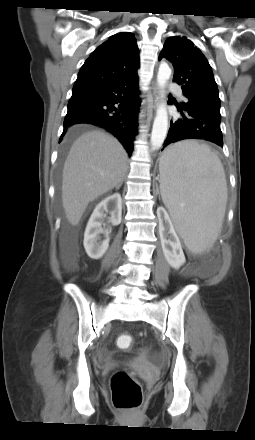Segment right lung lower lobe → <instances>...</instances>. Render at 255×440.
Masks as SVG:
<instances>
[{"instance_id": "98d812e1", "label": "right lung lower lobe", "mask_w": 255, "mask_h": 440, "mask_svg": "<svg viewBox=\"0 0 255 440\" xmlns=\"http://www.w3.org/2000/svg\"><path fill=\"white\" fill-rule=\"evenodd\" d=\"M138 94L137 73L106 86L73 92L61 139L68 127L93 124L111 132L131 155L137 134Z\"/></svg>"}]
</instances>
